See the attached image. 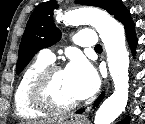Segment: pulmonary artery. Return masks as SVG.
Returning <instances> with one entry per match:
<instances>
[{"label":"pulmonary artery","instance_id":"e3ab8cb5","mask_svg":"<svg viewBox=\"0 0 145 124\" xmlns=\"http://www.w3.org/2000/svg\"><path fill=\"white\" fill-rule=\"evenodd\" d=\"M76 45L81 47H95L97 45V37L95 30L83 29L80 30L74 38ZM39 57L52 62L55 58L54 53L50 49H42L39 53Z\"/></svg>","mask_w":145,"mask_h":124}]
</instances>
